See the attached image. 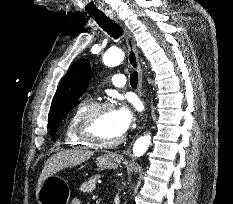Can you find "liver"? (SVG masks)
Returning <instances> with one entry per match:
<instances>
[{"label":"liver","instance_id":"6515ba94","mask_svg":"<svg viewBox=\"0 0 233 204\" xmlns=\"http://www.w3.org/2000/svg\"><path fill=\"white\" fill-rule=\"evenodd\" d=\"M93 155L92 151L82 149H71L60 151L51 156L44 165L36 188V197L42 183L57 172L80 165Z\"/></svg>","mask_w":233,"mask_h":204}]
</instances>
